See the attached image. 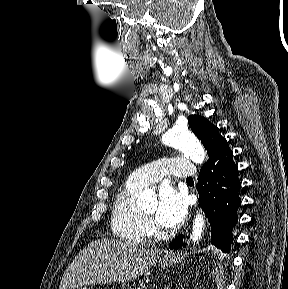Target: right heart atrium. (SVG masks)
<instances>
[{
	"instance_id": "right-heart-atrium-1",
	"label": "right heart atrium",
	"mask_w": 288,
	"mask_h": 289,
	"mask_svg": "<svg viewBox=\"0 0 288 289\" xmlns=\"http://www.w3.org/2000/svg\"><path fill=\"white\" fill-rule=\"evenodd\" d=\"M149 229H151V225L150 224H148V231H149Z\"/></svg>"
}]
</instances>
